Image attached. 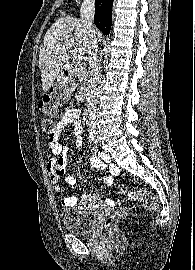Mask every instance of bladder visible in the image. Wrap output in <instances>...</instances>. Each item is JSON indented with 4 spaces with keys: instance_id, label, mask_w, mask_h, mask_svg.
I'll return each mask as SVG.
<instances>
[{
    "instance_id": "31cf9c89",
    "label": "bladder",
    "mask_w": 195,
    "mask_h": 270,
    "mask_svg": "<svg viewBox=\"0 0 195 270\" xmlns=\"http://www.w3.org/2000/svg\"><path fill=\"white\" fill-rule=\"evenodd\" d=\"M63 227L70 233L85 235L90 233L97 220L98 209L94 207H78L61 211Z\"/></svg>"
}]
</instances>
